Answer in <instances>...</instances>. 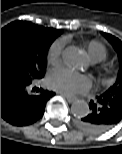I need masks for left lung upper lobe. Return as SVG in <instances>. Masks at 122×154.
Listing matches in <instances>:
<instances>
[{
    "label": "left lung upper lobe",
    "mask_w": 122,
    "mask_h": 154,
    "mask_svg": "<svg viewBox=\"0 0 122 154\" xmlns=\"http://www.w3.org/2000/svg\"><path fill=\"white\" fill-rule=\"evenodd\" d=\"M103 35L113 45L118 54L120 62L117 80L114 85L111 86L105 93L110 94L111 96L115 97L120 103H122V42L111 34L104 33Z\"/></svg>",
    "instance_id": "left-lung-upper-lobe-1"
}]
</instances>
